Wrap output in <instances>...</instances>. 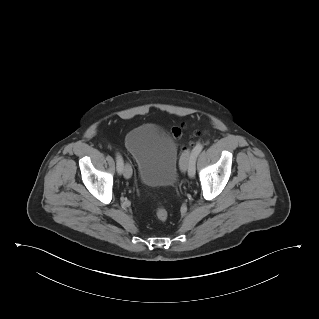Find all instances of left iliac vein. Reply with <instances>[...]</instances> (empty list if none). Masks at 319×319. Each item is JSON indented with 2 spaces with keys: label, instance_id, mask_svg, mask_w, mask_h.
<instances>
[{
  "label": "left iliac vein",
  "instance_id": "obj_1",
  "mask_svg": "<svg viewBox=\"0 0 319 319\" xmlns=\"http://www.w3.org/2000/svg\"><path fill=\"white\" fill-rule=\"evenodd\" d=\"M190 155H191L190 151L187 150L181 157L180 168H181L182 172H186L187 171ZM188 175H189V173H188Z\"/></svg>",
  "mask_w": 319,
  "mask_h": 319
}]
</instances>
